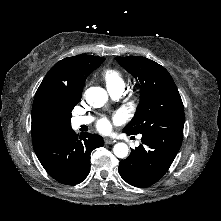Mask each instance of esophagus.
I'll return each instance as SVG.
<instances>
[{"label": "esophagus", "mask_w": 221, "mask_h": 221, "mask_svg": "<svg viewBox=\"0 0 221 221\" xmlns=\"http://www.w3.org/2000/svg\"><path fill=\"white\" fill-rule=\"evenodd\" d=\"M104 141H105L106 144H113V143L116 142L115 139H111V138H105Z\"/></svg>", "instance_id": "esophagus-1"}]
</instances>
